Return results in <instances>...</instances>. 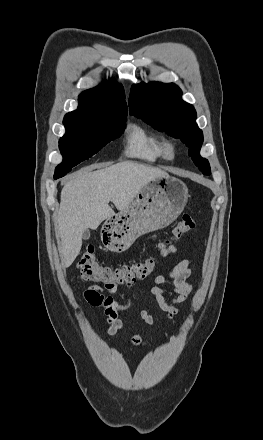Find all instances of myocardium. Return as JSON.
Wrapping results in <instances>:
<instances>
[{"instance_id":"1","label":"myocardium","mask_w":263,"mask_h":440,"mask_svg":"<svg viewBox=\"0 0 263 440\" xmlns=\"http://www.w3.org/2000/svg\"><path fill=\"white\" fill-rule=\"evenodd\" d=\"M163 151L164 155L168 159H172L175 157L177 152V144L173 140H166L163 143Z\"/></svg>"}]
</instances>
